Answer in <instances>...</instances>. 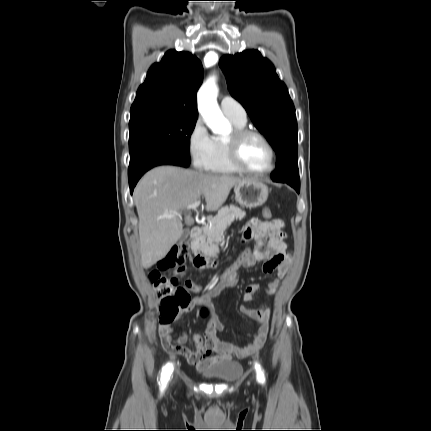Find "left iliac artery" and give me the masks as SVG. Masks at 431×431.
<instances>
[{
  "label": "left iliac artery",
  "instance_id": "left-iliac-artery-1",
  "mask_svg": "<svg viewBox=\"0 0 431 431\" xmlns=\"http://www.w3.org/2000/svg\"><path fill=\"white\" fill-rule=\"evenodd\" d=\"M255 369H256V372H257V379H258V381L263 384L265 382L264 373H263V370H262L260 364L257 363V362L255 363Z\"/></svg>",
  "mask_w": 431,
  "mask_h": 431
}]
</instances>
